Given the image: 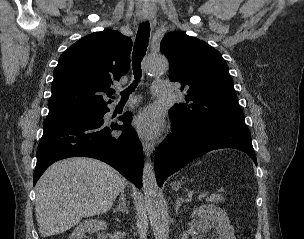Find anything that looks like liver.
<instances>
[{
  "label": "liver",
  "mask_w": 304,
  "mask_h": 239,
  "mask_svg": "<svg viewBox=\"0 0 304 239\" xmlns=\"http://www.w3.org/2000/svg\"><path fill=\"white\" fill-rule=\"evenodd\" d=\"M127 185L109 165L73 157L52 164L36 185V219L42 237L63 233L82 218L107 212Z\"/></svg>",
  "instance_id": "liver-1"
}]
</instances>
